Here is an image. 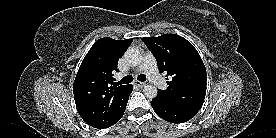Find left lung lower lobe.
<instances>
[{"mask_svg":"<svg viewBox=\"0 0 276 138\" xmlns=\"http://www.w3.org/2000/svg\"><path fill=\"white\" fill-rule=\"evenodd\" d=\"M151 105L159 117L171 123L186 122L197 114L196 111L171 104L162 99L159 95L151 101Z\"/></svg>","mask_w":276,"mask_h":138,"instance_id":"1","label":"left lung lower lobe"}]
</instances>
